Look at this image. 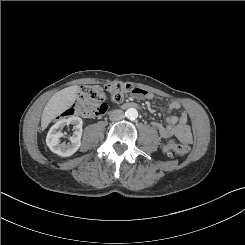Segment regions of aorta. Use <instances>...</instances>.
<instances>
[{
	"label": "aorta",
	"instance_id": "aorta-1",
	"mask_svg": "<svg viewBox=\"0 0 245 245\" xmlns=\"http://www.w3.org/2000/svg\"><path fill=\"white\" fill-rule=\"evenodd\" d=\"M125 116L128 119L134 120L135 118L138 117V111L135 108H129V109L126 110Z\"/></svg>",
	"mask_w": 245,
	"mask_h": 245
}]
</instances>
